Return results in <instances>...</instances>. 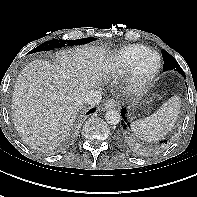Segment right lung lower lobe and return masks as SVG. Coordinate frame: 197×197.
<instances>
[{
    "label": "right lung lower lobe",
    "mask_w": 197,
    "mask_h": 197,
    "mask_svg": "<svg viewBox=\"0 0 197 197\" xmlns=\"http://www.w3.org/2000/svg\"><path fill=\"white\" fill-rule=\"evenodd\" d=\"M95 111V108H92L91 110L88 111V114L93 113Z\"/></svg>",
    "instance_id": "98d812e1"
}]
</instances>
